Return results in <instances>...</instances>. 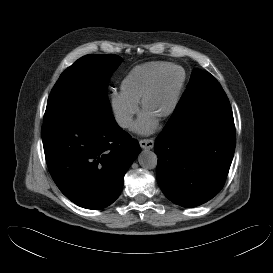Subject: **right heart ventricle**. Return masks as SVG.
Wrapping results in <instances>:
<instances>
[{"label": "right heart ventricle", "instance_id": "right-heart-ventricle-1", "mask_svg": "<svg viewBox=\"0 0 273 273\" xmlns=\"http://www.w3.org/2000/svg\"><path fill=\"white\" fill-rule=\"evenodd\" d=\"M166 66V64L156 62L137 66L123 82L121 87L122 95L130 102L138 103L152 78Z\"/></svg>", "mask_w": 273, "mask_h": 273}]
</instances>
